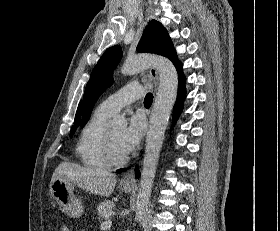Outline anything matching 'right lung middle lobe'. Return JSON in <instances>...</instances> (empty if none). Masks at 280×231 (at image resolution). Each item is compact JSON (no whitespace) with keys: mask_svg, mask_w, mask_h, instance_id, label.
<instances>
[{"mask_svg":"<svg viewBox=\"0 0 280 231\" xmlns=\"http://www.w3.org/2000/svg\"><path fill=\"white\" fill-rule=\"evenodd\" d=\"M75 130L76 129H71V133H70L71 136L74 134Z\"/></svg>","mask_w":280,"mask_h":231,"instance_id":"1","label":"right lung middle lobe"}]
</instances>
